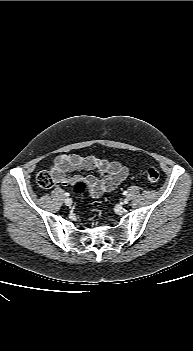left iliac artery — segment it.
I'll use <instances>...</instances> for the list:
<instances>
[{"label":"left iliac artery","mask_w":193,"mask_h":351,"mask_svg":"<svg viewBox=\"0 0 193 351\" xmlns=\"http://www.w3.org/2000/svg\"><path fill=\"white\" fill-rule=\"evenodd\" d=\"M123 195H127V191H124V192H123Z\"/></svg>","instance_id":"obj_1"}]
</instances>
